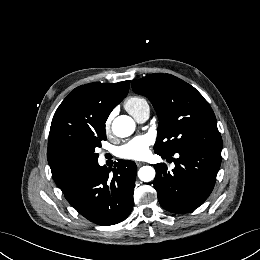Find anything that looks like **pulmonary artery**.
I'll list each match as a JSON object with an SVG mask.
<instances>
[{
	"mask_svg": "<svg viewBox=\"0 0 260 260\" xmlns=\"http://www.w3.org/2000/svg\"><path fill=\"white\" fill-rule=\"evenodd\" d=\"M150 115V107L149 105H145L142 108H140L135 114L132 116L138 121V122H145Z\"/></svg>",
	"mask_w": 260,
	"mask_h": 260,
	"instance_id": "pulmonary-artery-1",
	"label": "pulmonary artery"
}]
</instances>
